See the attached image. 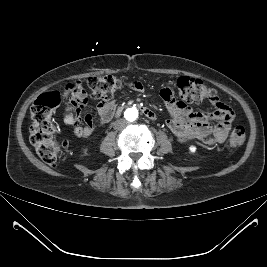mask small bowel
<instances>
[{
    "label": "small bowel",
    "mask_w": 267,
    "mask_h": 267,
    "mask_svg": "<svg viewBox=\"0 0 267 267\" xmlns=\"http://www.w3.org/2000/svg\"><path fill=\"white\" fill-rule=\"evenodd\" d=\"M130 86L137 92L143 90L142 84L138 81H133ZM160 95L170 115L167 126L179 141L199 140L210 146L225 141L232 127L234 113L218 98L212 101L215 110L203 114L194 111L185 102L177 100L171 85L162 87ZM63 97L71 101V104L66 105L62 111L64 123L73 126V133L76 137L90 136L95 128L91 114L85 115V126L79 124L81 110L88 102V95L82 84L79 81L68 82L65 85ZM114 107V103L98 105L97 111L101 123H106L112 118Z\"/></svg>",
    "instance_id": "c3829d8e"
}]
</instances>
